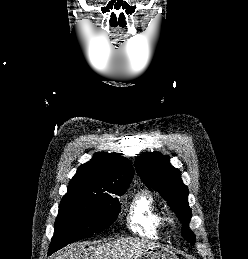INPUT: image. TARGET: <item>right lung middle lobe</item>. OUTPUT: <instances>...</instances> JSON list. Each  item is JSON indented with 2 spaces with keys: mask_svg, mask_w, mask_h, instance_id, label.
<instances>
[{
  "mask_svg": "<svg viewBox=\"0 0 248 259\" xmlns=\"http://www.w3.org/2000/svg\"><path fill=\"white\" fill-rule=\"evenodd\" d=\"M126 189L115 191L68 190L59 205L50 248H59L108 228L120 212L118 198Z\"/></svg>",
  "mask_w": 248,
  "mask_h": 259,
  "instance_id": "right-lung-middle-lobe-1",
  "label": "right lung middle lobe"
}]
</instances>
